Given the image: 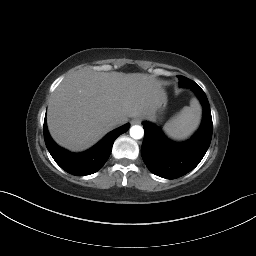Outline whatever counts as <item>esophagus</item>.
<instances>
[{
	"label": "esophagus",
	"mask_w": 256,
	"mask_h": 256,
	"mask_svg": "<svg viewBox=\"0 0 256 256\" xmlns=\"http://www.w3.org/2000/svg\"><path fill=\"white\" fill-rule=\"evenodd\" d=\"M141 123V118L140 117H136L134 119L131 120V124H140Z\"/></svg>",
	"instance_id": "esophagus-1"
}]
</instances>
